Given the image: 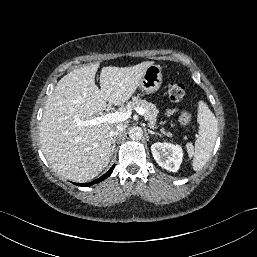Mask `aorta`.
<instances>
[{"label":"aorta","mask_w":257,"mask_h":257,"mask_svg":"<svg viewBox=\"0 0 257 257\" xmlns=\"http://www.w3.org/2000/svg\"><path fill=\"white\" fill-rule=\"evenodd\" d=\"M143 136V130L141 127L134 126L129 131V137L132 140H140Z\"/></svg>","instance_id":"obj_1"}]
</instances>
